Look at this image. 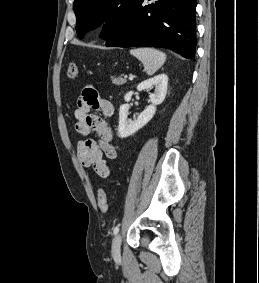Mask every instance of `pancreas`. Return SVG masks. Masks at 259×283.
I'll list each match as a JSON object with an SVG mask.
<instances>
[{
	"mask_svg": "<svg viewBox=\"0 0 259 283\" xmlns=\"http://www.w3.org/2000/svg\"><path fill=\"white\" fill-rule=\"evenodd\" d=\"M111 81L115 85H123L127 82V80L123 77H111Z\"/></svg>",
	"mask_w": 259,
	"mask_h": 283,
	"instance_id": "1",
	"label": "pancreas"
}]
</instances>
